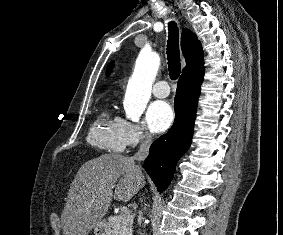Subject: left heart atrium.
<instances>
[{
  "instance_id": "1",
  "label": "left heart atrium",
  "mask_w": 283,
  "mask_h": 235,
  "mask_svg": "<svg viewBox=\"0 0 283 235\" xmlns=\"http://www.w3.org/2000/svg\"><path fill=\"white\" fill-rule=\"evenodd\" d=\"M174 120L171 106L165 101H155L147 109L146 121L149 128L160 133L167 130Z\"/></svg>"
}]
</instances>
